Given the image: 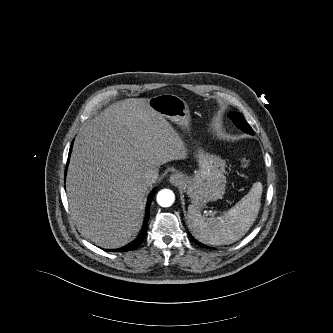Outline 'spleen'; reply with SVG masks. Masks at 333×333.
<instances>
[{
    "instance_id": "obj_1",
    "label": "spleen",
    "mask_w": 333,
    "mask_h": 333,
    "mask_svg": "<svg viewBox=\"0 0 333 333\" xmlns=\"http://www.w3.org/2000/svg\"><path fill=\"white\" fill-rule=\"evenodd\" d=\"M262 184L251 190L219 217H205L194 205L188 207V223L193 235L202 243L229 245L241 239L255 222L261 206Z\"/></svg>"
}]
</instances>
